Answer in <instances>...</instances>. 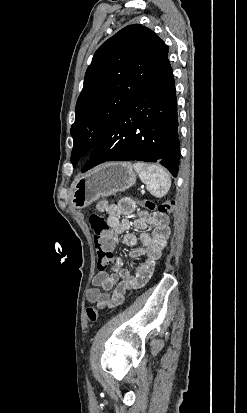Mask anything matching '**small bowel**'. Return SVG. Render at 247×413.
<instances>
[{"label": "small bowel", "instance_id": "obj_1", "mask_svg": "<svg viewBox=\"0 0 247 413\" xmlns=\"http://www.w3.org/2000/svg\"><path fill=\"white\" fill-rule=\"evenodd\" d=\"M96 210L107 213L108 237L113 243L123 234L125 245L135 246L138 242L142 245V248L131 253V258L136 262L133 272L126 269L124 260L118 257L113 263L112 274L99 271L93 279V287L87 291L88 302L96 304L98 308H113L123 303L127 290L140 289L151 279L156 261L170 236L169 219L165 217L156 223L155 215L140 214L134 217V204L124 201L109 204L102 200L96 204ZM130 227L142 230L140 236L129 232ZM148 228L150 232L145 231Z\"/></svg>", "mask_w": 247, "mask_h": 413}]
</instances>
